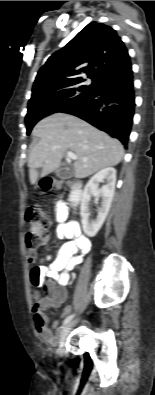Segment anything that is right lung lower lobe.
<instances>
[{
	"label": "right lung lower lobe",
	"mask_w": 155,
	"mask_h": 395,
	"mask_svg": "<svg viewBox=\"0 0 155 395\" xmlns=\"http://www.w3.org/2000/svg\"><path fill=\"white\" fill-rule=\"evenodd\" d=\"M135 108L132 65L112 71L99 80L95 91L63 112L77 116L128 143Z\"/></svg>",
	"instance_id": "1"
}]
</instances>
